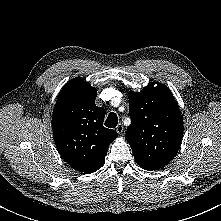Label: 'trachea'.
<instances>
[{"label":"trachea","instance_id":"obj_1","mask_svg":"<svg viewBox=\"0 0 221 221\" xmlns=\"http://www.w3.org/2000/svg\"><path fill=\"white\" fill-rule=\"evenodd\" d=\"M117 124H118L117 114L114 112L110 113L105 121V126L108 128H115Z\"/></svg>","mask_w":221,"mask_h":221}]
</instances>
